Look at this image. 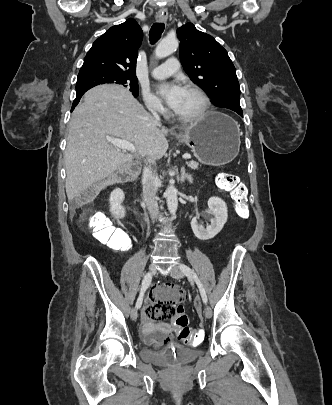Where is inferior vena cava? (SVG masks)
<instances>
[{
  "mask_svg": "<svg viewBox=\"0 0 332 405\" xmlns=\"http://www.w3.org/2000/svg\"><path fill=\"white\" fill-rule=\"evenodd\" d=\"M149 109L154 117L157 124H160V117L156 111L155 106H150ZM151 165L156 166V159L148 158L147 164L143 169V186H144V200L147 205L148 211L153 219H155L159 214V208L157 203V187L159 184V179L157 176L156 169H152Z\"/></svg>",
  "mask_w": 332,
  "mask_h": 405,
  "instance_id": "inferior-vena-cava-1",
  "label": "inferior vena cava"
}]
</instances>
